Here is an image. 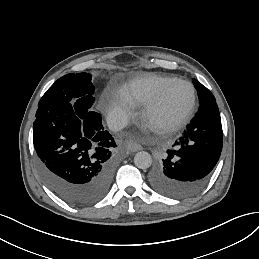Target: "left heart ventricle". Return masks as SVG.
Here are the masks:
<instances>
[{"label":"left heart ventricle","instance_id":"left-heart-ventricle-1","mask_svg":"<svg viewBox=\"0 0 259 259\" xmlns=\"http://www.w3.org/2000/svg\"><path fill=\"white\" fill-rule=\"evenodd\" d=\"M190 96L191 91L186 83L177 82L173 84L165 95L163 105L148 118L149 121L156 129H161L170 117L181 111L188 104Z\"/></svg>","mask_w":259,"mask_h":259}]
</instances>
